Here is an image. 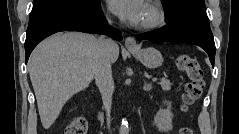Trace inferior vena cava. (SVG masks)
<instances>
[{
  "instance_id": "inferior-vena-cava-1",
  "label": "inferior vena cava",
  "mask_w": 239,
  "mask_h": 134,
  "mask_svg": "<svg viewBox=\"0 0 239 134\" xmlns=\"http://www.w3.org/2000/svg\"><path fill=\"white\" fill-rule=\"evenodd\" d=\"M100 46L94 54V76L96 84L102 96L103 107L106 110L107 125L111 123V105L114 91L112 77L111 47L114 42L104 36L99 38Z\"/></svg>"
}]
</instances>
